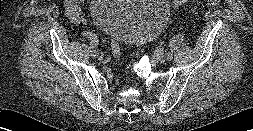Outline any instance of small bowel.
<instances>
[{
	"instance_id": "small-bowel-1",
	"label": "small bowel",
	"mask_w": 253,
	"mask_h": 131,
	"mask_svg": "<svg viewBox=\"0 0 253 131\" xmlns=\"http://www.w3.org/2000/svg\"><path fill=\"white\" fill-rule=\"evenodd\" d=\"M84 0H64V10L66 16L73 22L79 23L83 21L79 5Z\"/></svg>"
}]
</instances>
